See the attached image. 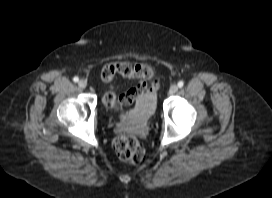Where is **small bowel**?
I'll return each instance as SVG.
<instances>
[{"label":"small bowel","mask_w":272,"mask_h":198,"mask_svg":"<svg viewBox=\"0 0 272 198\" xmlns=\"http://www.w3.org/2000/svg\"><path fill=\"white\" fill-rule=\"evenodd\" d=\"M113 70L110 77L105 79L112 82L116 77L132 80L135 84L117 98L116 90L111 87L104 97L107 107H112L118 100L124 106H130L147 97H155L159 87V80L154 77L152 68L144 63H131L129 61H116L108 66Z\"/></svg>","instance_id":"obj_1"}]
</instances>
